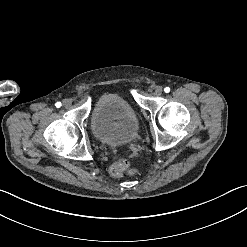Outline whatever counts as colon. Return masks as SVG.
I'll return each mask as SVG.
<instances>
[{"label":"colon","instance_id":"colon-1","mask_svg":"<svg viewBox=\"0 0 247 247\" xmlns=\"http://www.w3.org/2000/svg\"><path fill=\"white\" fill-rule=\"evenodd\" d=\"M131 155L125 154L116 164L110 165L109 172L114 177H120L125 173V168L130 164Z\"/></svg>","mask_w":247,"mask_h":247}]
</instances>
